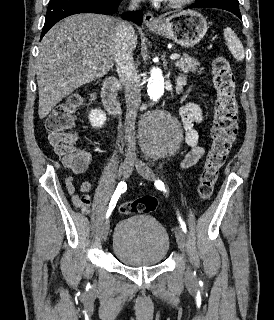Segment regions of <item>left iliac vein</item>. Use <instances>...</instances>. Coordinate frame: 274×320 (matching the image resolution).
Listing matches in <instances>:
<instances>
[{"label":"left iliac vein","mask_w":274,"mask_h":320,"mask_svg":"<svg viewBox=\"0 0 274 320\" xmlns=\"http://www.w3.org/2000/svg\"><path fill=\"white\" fill-rule=\"evenodd\" d=\"M136 169L138 173L145 179L147 180H154L155 179V174L151 168H149L146 164L142 162H137L136 163ZM175 236H176V241L177 244L182 252L185 251L186 248V239L184 232L181 227H177L175 230ZM187 277H191V271L188 269L187 270Z\"/></svg>","instance_id":"4c4485c4"}]
</instances>
